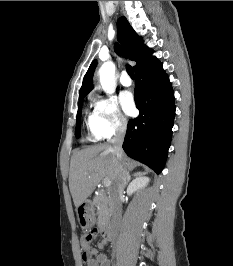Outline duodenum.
Instances as JSON below:
<instances>
[{
	"label": "duodenum",
	"mask_w": 233,
	"mask_h": 266,
	"mask_svg": "<svg viewBox=\"0 0 233 266\" xmlns=\"http://www.w3.org/2000/svg\"><path fill=\"white\" fill-rule=\"evenodd\" d=\"M101 233L106 241H111L114 239V233L109 224H103L101 227Z\"/></svg>",
	"instance_id": "obj_1"
}]
</instances>
